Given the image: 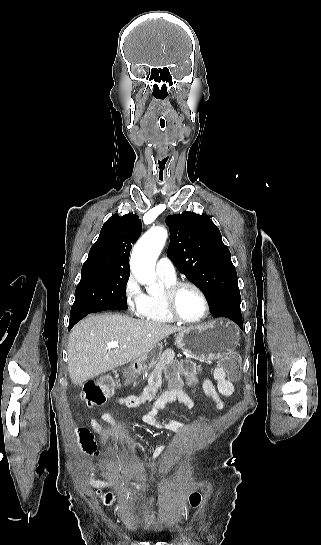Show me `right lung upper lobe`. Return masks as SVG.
<instances>
[{
    "label": "right lung upper lobe",
    "mask_w": 321,
    "mask_h": 545,
    "mask_svg": "<svg viewBox=\"0 0 321 545\" xmlns=\"http://www.w3.org/2000/svg\"><path fill=\"white\" fill-rule=\"evenodd\" d=\"M141 230L142 225L137 215L114 214L104 223L82 269L100 268L114 272H130L131 244L137 241Z\"/></svg>",
    "instance_id": "obj_1"
}]
</instances>
